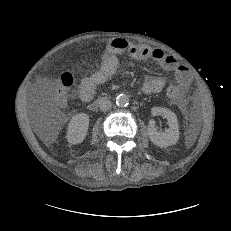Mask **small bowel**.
<instances>
[{"label":"small bowel","instance_id":"obj_1","mask_svg":"<svg viewBox=\"0 0 231 231\" xmlns=\"http://www.w3.org/2000/svg\"><path fill=\"white\" fill-rule=\"evenodd\" d=\"M128 54L139 60H152L163 69L173 72L181 89L185 90L191 83L192 77L188 69L180 64L176 58L160 49L137 45L125 38H115L110 41L107 52L102 55L101 67L90 76L82 77L79 81L77 93L82 101L91 100L99 86L108 82L117 72L121 63V55ZM165 81L154 76H145L142 91L145 94H155L162 91Z\"/></svg>","mask_w":231,"mask_h":231}]
</instances>
